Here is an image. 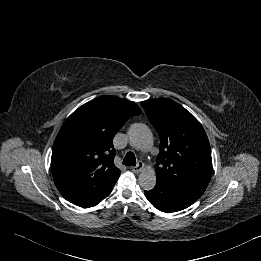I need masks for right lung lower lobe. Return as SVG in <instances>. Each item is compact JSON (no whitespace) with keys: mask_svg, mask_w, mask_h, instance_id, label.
I'll return each instance as SVG.
<instances>
[{"mask_svg":"<svg viewBox=\"0 0 261 261\" xmlns=\"http://www.w3.org/2000/svg\"><path fill=\"white\" fill-rule=\"evenodd\" d=\"M111 191H112V190H110L107 194H105L104 196L100 197L99 199H96V200H94V201H92V202H90V203H87V204L81 205V206H82V207H92V206H95V205H97L98 203H100L104 198H106V197L110 194Z\"/></svg>","mask_w":261,"mask_h":261,"instance_id":"98d812e1","label":"right lung lower lobe"}]
</instances>
